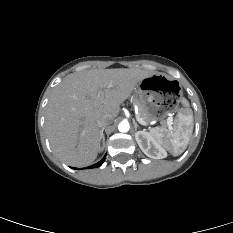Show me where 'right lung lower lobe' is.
Listing matches in <instances>:
<instances>
[{
    "label": "right lung lower lobe",
    "mask_w": 233,
    "mask_h": 233,
    "mask_svg": "<svg viewBox=\"0 0 233 233\" xmlns=\"http://www.w3.org/2000/svg\"><path fill=\"white\" fill-rule=\"evenodd\" d=\"M105 158H106V155L98 163H96V164H94L92 166H89L88 168H97V167H100L103 164Z\"/></svg>",
    "instance_id": "obj_1"
}]
</instances>
